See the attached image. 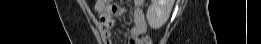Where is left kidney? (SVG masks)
<instances>
[{"label": "left kidney", "instance_id": "1", "mask_svg": "<svg viewBox=\"0 0 261 44\" xmlns=\"http://www.w3.org/2000/svg\"><path fill=\"white\" fill-rule=\"evenodd\" d=\"M174 0H151L147 10V21L151 28L159 29L168 20Z\"/></svg>", "mask_w": 261, "mask_h": 44}]
</instances>
